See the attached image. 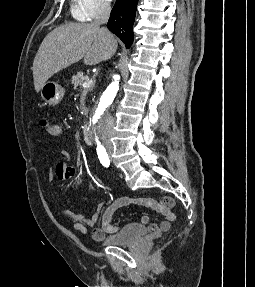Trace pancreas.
<instances>
[{"label": "pancreas", "mask_w": 255, "mask_h": 287, "mask_svg": "<svg viewBox=\"0 0 255 287\" xmlns=\"http://www.w3.org/2000/svg\"><path fill=\"white\" fill-rule=\"evenodd\" d=\"M89 76H84V72H77V76H72L71 84H73L74 90H79L78 86L82 88L84 82H89ZM94 84H91L90 88H83L82 92H93Z\"/></svg>", "instance_id": "cf45deb5"}]
</instances>
